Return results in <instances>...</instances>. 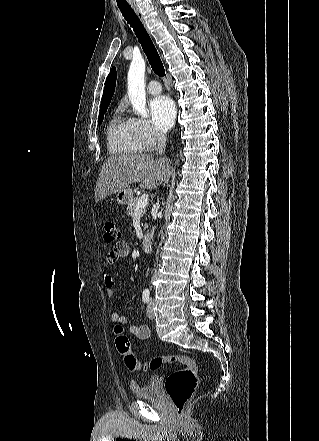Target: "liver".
<instances>
[{"mask_svg":"<svg viewBox=\"0 0 319 441\" xmlns=\"http://www.w3.org/2000/svg\"><path fill=\"white\" fill-rule=\"evenodd\" d=\"M168 173V162L165 159H154L149 154L111 156L101 167L96 182L95 201L118 193L134 182H141V188H155Z\"/></svg>","mask_w":319,"mask_h":441,"instance_id":"liver-1","label":"liver"}]
</instances>
